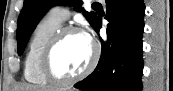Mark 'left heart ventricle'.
Returning a JSON list of instances; mask_svg holds the SVG:
<instances>
[{
    "label": "left heart ventricle",
    "instance_id": "b2bd125f",
    "mask_svg": "<svg viewBox=\"0 0 173 91\" xmlns=\"http://www.w3.org/2000/svg\"><path fill=\"white\" fill-rule=\"evenodd\" d=\"M92 49L89 40L82 34L66 36L56 47L52 60V71L60 77L80 73L89 63Z\"/></svg>",
    "mask_w": 173,
    "mask_h": 91
}]
</instances>
